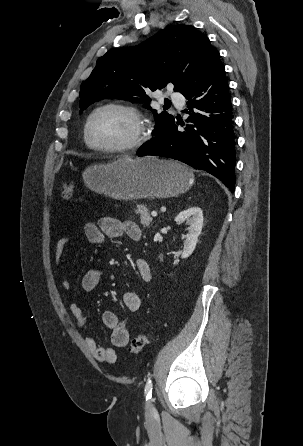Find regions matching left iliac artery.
Masks as SVG:
<instances>
[{"mask_svg":"<svg viewBox=\"0 0 303 446\" xmlns=\"http://www.w3.org/2000/svg\"><path fill=\"white\" fill-rule=\"evenodd\" d=\"M144 392H145L146 400H150L151 395H152V380L151 379L147 380Z\"/></svg>","mask_w":303,"mask_h":446,"instance_id":"44dca946","label":"left iliac artery"}]
</instances>
